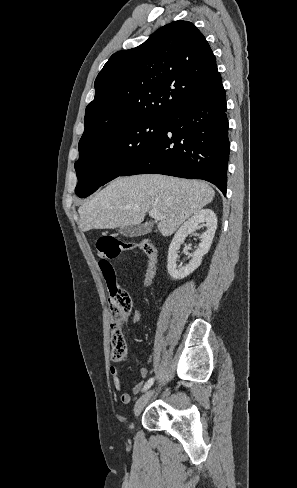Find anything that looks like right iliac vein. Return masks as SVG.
I'll return each instance as SVG.
<instances>
[{
    "instance_id": "1",
    "label": "right iliac vein",
    "mask_w": 297,
    "mask_h": 488,
    "mask_svg": "<svg viewBox=\"0 0 297 488\" xmlns=\"http://www.w3.org/2000/svg\"><path fill=\"white\" fill-rule=\"evenodd\" d=\"M153 395V391L149 390L146 393H144L136 402L134 406V414L138 416L144 407L147 405L148 401L150 400L151 396Z\"/></svg>"
}]
</instances>
